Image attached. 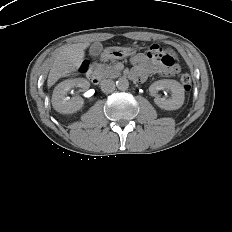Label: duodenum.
<instances>
[{
    "label": "duodenum",
    "instance_id": "1",
    "mask_svg": "<svg viewBox=\"0 0 232 232\" xmlns=\"http://www.w3.org/2000/svg\"><path fill=\"white\" fill-rule=\"evenodd\" d=\"M87 77L93 83H97L99 81L98 70L95 66L89 68L87 71Z\"/></svg>",
    "mask_w": 232,
    "mask_h": 232
}]
</instances>
